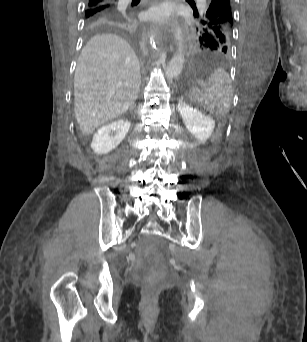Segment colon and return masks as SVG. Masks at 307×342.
Masks as SVG:
<instances>
[{
  "label": "colon",
  "mask_w": 307,
  "mask_h": 342,
  "mask_svg": "<svg viewBox=\"0 0 307 342\" xmlns=\"http://www.w3.org/2000/svg\"><path fill=\"white\" fill-rule=\"evenodd\" d=\"M168 266H155V269H148V280L144 281L143 286L146 295H152L156 283H161V276H167Z\"/></svg>",
  "instance_id": "5ec220e1"
}]
</instances>
